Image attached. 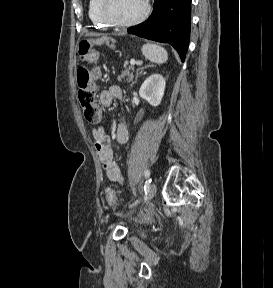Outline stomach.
Returning <instances> with one entry per match:
<instances>
[{
	"mask_svg": "<svg viewBox=\"0 0 273 288\" xmlns=\"http://www.w3.org/2000/svg\"><path fill=\"white\" fill-rule=\"evenodd\" d=\"M85 41H87V43H88L90 48L94 45V40H92V39H88V40H85Z\"/></svg>",
	"mask_w": 273,
	"mask_h": 288,
	"instance_id": "0dacf381",
	"label": "stomach"
}]
</instances>
